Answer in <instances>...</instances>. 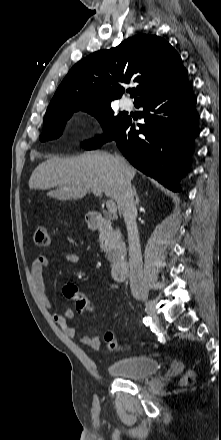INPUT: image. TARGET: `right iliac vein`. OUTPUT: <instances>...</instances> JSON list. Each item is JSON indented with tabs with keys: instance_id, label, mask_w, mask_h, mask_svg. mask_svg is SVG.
<instances>
[{
	"instance_id": "63e3f726",
	"label": "right iliac vein",
	"mask_w": 221,
	"mask_h": 440,
	"mask_svg": "<svg viewBox=\"0 0 221 440\" xmlns=\"http://www.w3.org/2000/svg\"><path fill=\"white\" fill-rule=\"evenodd\" d=\"M145 310L148 316L154 321L158 322V315L152 300H146L145 302Z\"/></svg>"
}]
</instances>
